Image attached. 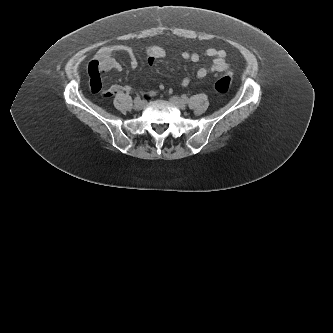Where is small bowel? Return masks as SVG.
<instances>
[{
  "label": "small bowel",
  "instance_id": "c3829d8e",
  "mask_svg": "<svg viewBox=\"0 0 333 333\" xmlns=\"http://www.w3.org/2000/svg\"><path fill=\"white\" fill-rule=\"evenodd\" d=\"M118 52H125L129 55V62L132 69L138 68L140 62L133 50L125 45H108L101 47L88 64V72L90 74V89L93 93L100 92L102 88L101 73L111 70H120L121 65L115 59V54ZM166 55L163 48L159 46L149 47L146 51V60L148 65H153L158 59L164 58ZM205 56L212 59L210 67H201L196 71V79L201 80L205 78L210 72H223L229 69V64L226 60V52L221 49L209 48L205 51ZM181 57L184 60L191 62H198L200 55L198 53H190L187 51L181 52ZM191 83L189 77H184L181 81L182 87H187ZM163 90V86L159 85L154 91L142 92L145 96H153L159 91ZM131 93L134 89L129 85H111L105 92L106 97H111L119 92Z\"/></svg>",
  "mask_w": 333,
  "mask_h": 333
}]
</instances>
